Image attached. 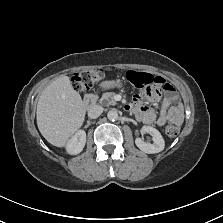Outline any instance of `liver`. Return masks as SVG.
Segmentation results:
<instances>
[{
  "label": "liver",
  "mask_w": 223,
  "mask_h": 223,
  "mask_svg": "<svg viewBox=\"0 0 223 223\" xmlns=\"http://www.w3.org/2000/svg\"><path fill=\"white\" fill-rule=\"evenodd\" d=\"M85 107L68 76L50 84L41 94L37 106L40 132L51 144L63 146L83 122Z\"/></svg>",
  "instance_id": "1"
}]
</instances>
